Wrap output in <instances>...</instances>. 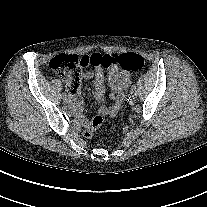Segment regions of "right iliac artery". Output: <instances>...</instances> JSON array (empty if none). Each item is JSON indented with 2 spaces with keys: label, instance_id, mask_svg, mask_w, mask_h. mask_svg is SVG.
<instances>
[{
  "label": "right iliac artery",
  "instance_id": "right-iliac-artery-1",
  "mask_svg": "<svg viewBox=\"0 0 207 207\" xmlns=\"http://www.w3.org/2000/svg\"><path fill=\"white\" fill-rule=\"evenodd\" d=\"M64 97H67V96H66L65 94H63V98H64Z\"/></svg>",
  "mask_w": 207,
  "mask_h": 207
}]
</instances>
